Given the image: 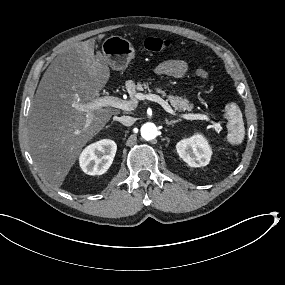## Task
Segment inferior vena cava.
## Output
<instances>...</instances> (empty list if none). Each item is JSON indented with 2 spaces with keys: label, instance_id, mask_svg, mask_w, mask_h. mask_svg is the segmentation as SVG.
Wrapping results in <instances>:
<instances>
[{
  "label": "inferior vena cava",
  "instance_id": "1",
  "mask_svg": "<svg viewBox=\"0 0 285 285\" xmlns=\"http://www.w3.org/2000/svg\"><path fill=\"white\" fill-rule=\"evenodd\" d=\"M118 120L124 124L125 126H130L134 123L135 119L131 116H122L119 117Z\"/></svg>",
  "mask_w": 285,
  "mask_h": 285
}]
</instances>
